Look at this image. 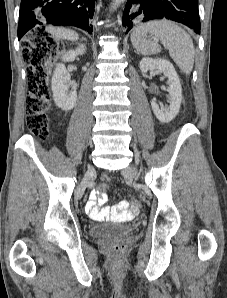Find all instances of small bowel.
I'll list each match as a JSON object with an SVG mask.
<instances>
[{
	"label": "small bowel",
	"instance_id": "1",
	"mask_svg": "<svg viewBox=\"0 0 227 298\" xmlns=\"http://www.w3.org/2000/svg\"><path fill=\"white\" fill-rule=\"evenodd\" d=\"M104 180L108 181V178L105 177ZM106 191V189H105ZM105 191L93 190L90 193L89 200L86 204L87 214L94 220H103L108 218H118V219H127L129 216L136 211L134 208L133 211L128 209L126 202L120 203L117 206H105L107 203L108 197ZM100 207H102L100 209Z\"/></svg>",
	"mask_w": 227,
	"mask_h": 298
}]
</instances>
